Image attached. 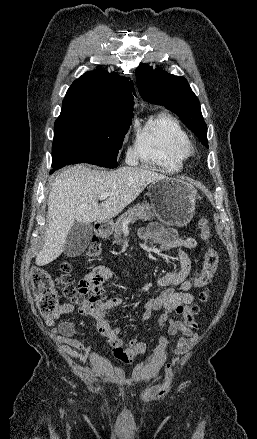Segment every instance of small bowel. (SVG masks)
<instances>
[{"label":"small bowel","mask_w":257,"mask_h":439,"mask_svg":"<svg viewBox=\"0 0 257 439\" xmlns=\"http://www.w3.org/2000/svg\"><path fill=\"white\" fill-rule=\"evenodd\" d=\"M138 234L142 240L159 246L163 252L176 249L179 267L159 278L158 285L163 287V290L157 297L148 300L143 305L141 321L160 312L159 325L166 328L170 336L181 334L173 351L174 355L180 356L193 346L196 338L197 324L193 318L189 317L188 306L194 300L192 289L199 286L200 270L192 272L193 268L198 266V258L192 253V250L197 246V240L193 237H181L176 229L163 227L159 223H151L147 227L141 228ZM110 276L111 271L108 267L98 265L83 276L79 286L93 293L101 294L104 293L102 284ZM175 286H178L179 289L175 290L173 288ZM122 303L119 296H114L100 302L97 308L91 312H81L92 318L98 332L106 339L112 355L122 364L129 366L146 352V344L135 337L124 340L121 337V329L109 323L106 312L120 308ZM73 310L72 304H61L53 316L46 318V324L53 326L60 316L69 314ZM172 314L180 316L182 320L173 319ZM75 328L76 325L73 321L63 320L55 332L59 334V340L66 346L69 353L80 362H85L90 354V349L73 337ZM168 346V338L166 336L160 337L151 352L150 365L152 368L161 364ZM72 349L78 352H74Z\"/></svg>","instance_id":"obj_1"}]
</instances>
